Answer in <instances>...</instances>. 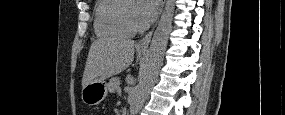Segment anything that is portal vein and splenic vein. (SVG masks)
<instances>
[{"mask_svg":"<svg viewBox=\"0 0 285 115\" xmlns=\"http://www.w3.org/2000/svg\"><path fill=\"white\" fill-rule=\"evenodd\" d=\"M117 92H121V88L120 87L118 88Z\"/></svg>","mask_w":285,"mask_h":115,"instance_id":"obj_1","label":"portal vein and splenic vein"}]
</instances>
